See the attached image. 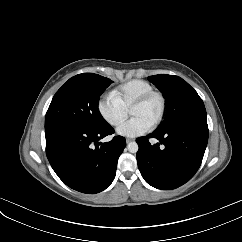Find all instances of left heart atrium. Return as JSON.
I'll return each mask as SVG.
<instances>
[{"instance_id": "1", "label": "left heart atrium", "mask_w": 242, "mask_h": 242, "mask_svg": "<svg viewBox=\"0 0 242 242\" xmlns=\"http://www.w3.org/2000/svg\"><path fill=\"white\" fill-rule=\"evenodd\" d=\"M151 125L138 117H132L117 128V133L125 137H137L150 129Z\"/></svg>"}]
</instances>
